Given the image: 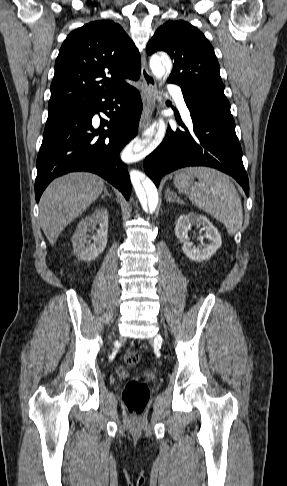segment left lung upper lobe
<instances>
[{
    "mask_svg": "<svg viewBox=\"0 0 287 486\" xmlns=\"http://www.w3.org/2000/svg\"><path fill=\"white\" fill-rule=\"evenodd\" d=\"M146 50L149 55L167 52L174 60L168 81L179 85L208 112L234 121L214 49L196 27L182 20L168 21L156 30Z\"/></svg>",
    "mask_w": 287,
    "mask_h": 486,
    "instance_id": "left-lung-upper-lobe-1",
    "label": "left lung upper lobe"
}]
</instances>
